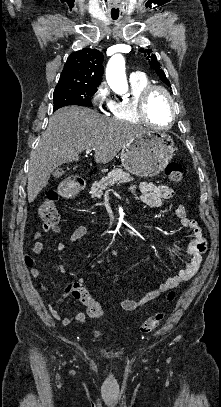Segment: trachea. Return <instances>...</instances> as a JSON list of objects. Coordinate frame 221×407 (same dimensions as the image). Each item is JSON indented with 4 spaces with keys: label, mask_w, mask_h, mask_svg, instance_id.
Returning <instances> with one entry per match:
<instances>
[{
    "label": "trachea",
    "mask_w": 221,
    "mask_h": 407,
    "mask_svg": "<svg viewBox=\"0 0 221 407\" xmlns=\"http://www.w3.org/2000/svg\"><path fill=\"white\" fill-rule=\"evenodd\" d=\"M112 19L116 20V19H118V16H116V17H113V16H112Z\"/></svg>",
    "instance_id": "obj_1"
}]
</instances>
